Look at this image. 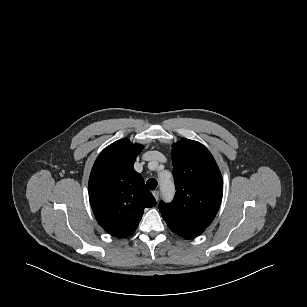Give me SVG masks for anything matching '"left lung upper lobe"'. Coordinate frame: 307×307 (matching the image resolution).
I'll return each instance as SVG.
<instances>
[{
	"label": "left lung upper lobe",
	"mask_w": 307,
	"mask_h": 307,
	"mask_svg": "<svg viewBox=\"0 0 307 307\" xmlns=\"http://www.w3.org/2000/svg\"><path fill=\"white\" fill-rule=\"evenodd\" d=\"M176 194L159 210L169 228L186 239L200 235L219 209L223 180L208 149L197 141L182 139L172 146Z\"/></svg>",
	"instance_id": "left-lung-upper-lobe-1"
}]
</instances>
